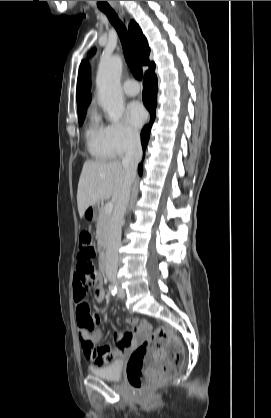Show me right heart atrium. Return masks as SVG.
I'll return each mask as SVG.
<instances>
[{"mask_svg": "<svg viewBox=\"0 0 271 418\" xmlns=\"http://www.w3.org/2000/svg\"><path fill=\"white\" fill-rule=\"evenodd\" d=\"M109 145L116 156H121L139 144V134L124 122L106 126Z\"/></svg>", "mask_w": 271, "mask_h": 418, "instance_id": "1", "label": "right heart atrium"}]
</instances>
